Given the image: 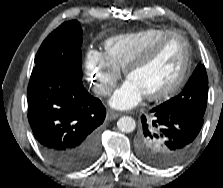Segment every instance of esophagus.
Segmentation results:
<instances>
[{
    "mask_svg": "<svg viewBox=\"0 0 223 188\" xmlns=\"http://www.w3.org/2000/svg\"><path fill=\"white\" fill-rule=\"evenodd\" d=\"M120 116V114L114 112V111H111V110H108L107 111V115H106V118L108 120H114L116 118H118Z\"/></svg>",
    "mask_w": 223,
    "mask_h": 188,
    "instance_id": "obj_1",
    "label": "esophagus"
}]
</instances>
